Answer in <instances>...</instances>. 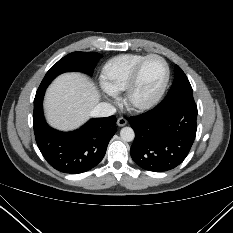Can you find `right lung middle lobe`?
<instances>
[{
  "label": "right lung middle lobe",
  "instance_id": "1",
  "mask_svg": "<svg viewBox=\"0 0 233 233\" xmlns=\"http://www.w3.org/2000/svg\"><path fill=\"white\" fill-rule=\"evenodd\" d=\"M99 59L100 54L93 52H73L66 55L46 73L37 92L46 90L50 82L64 72L80 71L91 75Z\"/></svg>",
  "mask_w": 233,
  "mask_h": 233
}]
</instances>
